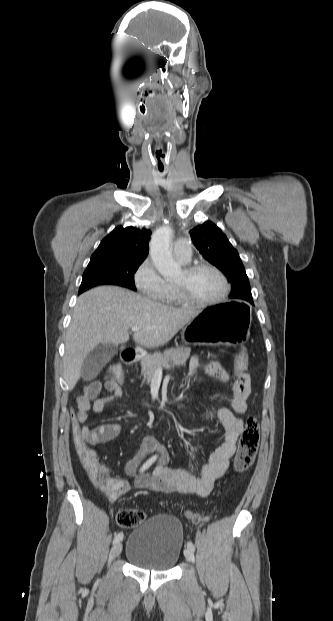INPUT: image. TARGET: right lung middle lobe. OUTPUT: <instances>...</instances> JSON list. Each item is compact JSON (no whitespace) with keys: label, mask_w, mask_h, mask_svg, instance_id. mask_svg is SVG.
Here are the masks:
<instances>
[{"label":"right lung middle lobe","mask_w":333,"mask_h":621,"mask_svg":"<svg viewBox=\"0 0 333 621\" xmlns=\"http://www.w3.org/2000/svg\"><path fill=\"white\" fill-rule=\"evenodd\" d=\"M143 261L105 260L90 262L83 274L79 294L97 285H118L136 291L133 277Z\"/></svg>","instance_id":"right-lung-middle-lobe-1"}]
</instances>
